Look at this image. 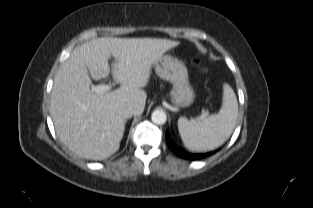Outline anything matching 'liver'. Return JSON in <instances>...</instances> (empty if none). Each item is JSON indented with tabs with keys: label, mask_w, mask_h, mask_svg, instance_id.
<instances>
[{
	"label": "liver",
	"mask_w": 313,
	"mask_h": 208,
	"mask_svg": "<svg viewBox=\"0 0 313 208\" xmlns=\"http://www.w3.org/2000/svg\"><path fill=\"white\" fill-rule=\"evenodd\" d=\"M180 42L157 38L93 39L75 48L59 68L51 91V116L59 139L78 156L102 160L120 147L126 120L118 113L121 104H132L135 115L145 109L152 66ZM121 83L113 91H91V78L110 73Z\"/></svg>",
	"instance_id": "liver-1"
}]
</instances>
